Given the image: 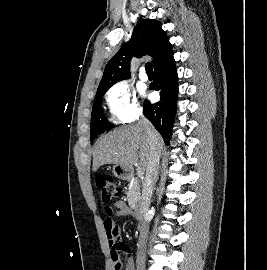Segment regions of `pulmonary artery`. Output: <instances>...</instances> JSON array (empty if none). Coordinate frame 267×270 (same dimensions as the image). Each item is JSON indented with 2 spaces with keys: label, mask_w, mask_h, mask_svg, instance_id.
<instances>
[{
  "label": "pulmonary artery",
  "mask_w": 267,
  "mask_h": 270,
  "mask_svg": "<svg viewBox=\"0 0 267 270\" xmlns=\"http://www.w3.org/2000/svg\"><path fill=\"white\" fill-rule=\"evenodd\" d=\"M139 77L142 81L148 80V75L146 74L144 67L140 69Z\"/></svg>",
  "instance_id": "pulmonary-artery-1"
}]
</instances>
